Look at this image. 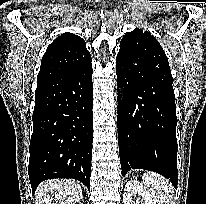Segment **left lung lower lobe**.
Masks as SVG:
<instances>
[{"label":"left lung lower lobe","instance_id":"obj_1","mask_svg":"<svg viewBox=\"0 0 206 204\" xmlns=\"http://www.w3.org/2000/svg\"><path fill=\"white\" fill-rule=\"evenodd\" d=\"M118 143L122 175L131 168L154 171L178 184L176 106L170 68L143 60L134 71L116 58Z\"/></svg>","mask_w":206,"mask_h":204}]
</instances>
